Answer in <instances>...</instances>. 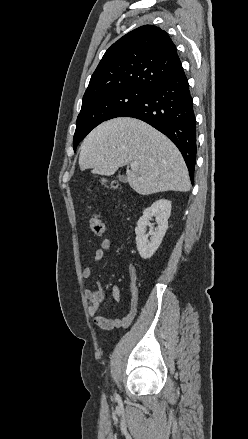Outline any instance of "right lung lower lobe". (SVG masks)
Returning a JSON list of instances; mask_svg holds the SVG:
<instances>
[{
    "mask_svg": "<svg viewBox=\"0 0 248 439\" xmlns=\"http://www.w3.org/2000/svg\"><path fill=\"white\" fill-rule=\"evenodd\" d=\"M119 117L145 121L165 134L178 147L193 183L196 162V119L187 77L177 75L155 85Z\"/></svg>",
    "mask_w": 248,
    "mask_h": 439,
    "instance_id": "1",
    "label": "right lung lower lobe"
}]
</instances>
